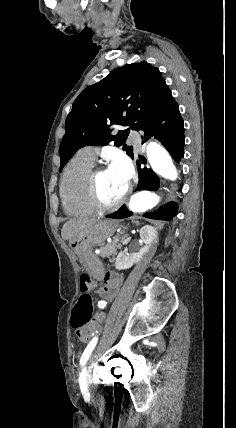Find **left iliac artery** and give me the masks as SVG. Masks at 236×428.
I'll return each instance as SVG.
<instances>
[{
    "label": "left iliac artery",
    "mask_w": 236,
    "mask_h": 428,
    "mask_svg": "<svg viewBox=\"0 0 236 428\" xmlns=\"http://www.w3.org/2000/svg\"><path fill=\"white\" fill-rule=\"evenodd\" d=\"M106 304H107V302H105V301H100V302H98V306H99L100 308H104V307L106 306ZM97 341H98V338H97V337H94V338L90 341V343L88 344V346L86 347V349L84 350V352H83V354H82V356H81V359H80V365H81L82 367L86 364L87 360L89 359V357H90V355H91V353H92L93 349L95 348V346H96V344H97ZM86 376H87V372H86V370H85V368H84V369L82 370L81 374H80V377H86Z\"/></svg>",
    "instance_id": "44dca946"
}]
</instances>
